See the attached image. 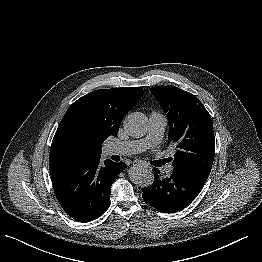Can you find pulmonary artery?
<instances>
[{"mask_svg": "<svg viewBox=\"0 0 262 262\" xmlns=\"http://www.w3.org/2000/svg\"><path fill=\"white\" fill-rule=\"evenodd\" d=\"M166 125L167 120L163 114L152 113L149 117V133L145 139L113 143L107 147L106 152L108 155H132L145 151L161 142ZM165 173L171 175L173 166H167Z\"/></svg>", "mask_w": 262, "mask_h": 262, "instance_id": "1", "label": "pulmonary artery"}]
</instances>
